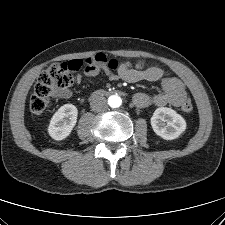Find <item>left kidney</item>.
Wrapping results in <instances>:
<instances>
[{
  "mask_svg": "<svg viewBox=\"0 0 225 225\" xmlns=\"http://www.w3.org/2000/svg\"><path fill=\"white\" fill-rule=\"evenodd\" d=\"M151 126L158 136L166 140H173L185 131L186 121L175 110L159 107L151 117Z\"/></svg>",
  "mask_w": 225,
  "mask_h": 225,
  "instance_id": "obj_1",
  "label": "left kidney"
}]
</instances>
